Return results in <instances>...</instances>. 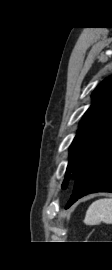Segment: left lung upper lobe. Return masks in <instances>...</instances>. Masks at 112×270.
Returning <instances> with one entry per match:
<instances>
[{
    "mask_svg": "<svg viewBox=\"0 0 112 270\" xmlns=\"http://www.w3.org/2000/svg\"><path fill=\"white\" fill-rule=\"evenodd\" d=\"M94 103L83 116L70 147V160L62 188L112 149V77L95 89Z\"/></svg>",
    "mask_w": 112,
    "mask_h": 270,
    "instance_id": "1",
    "label": "left lung upper lobe"
}]
</instances>
